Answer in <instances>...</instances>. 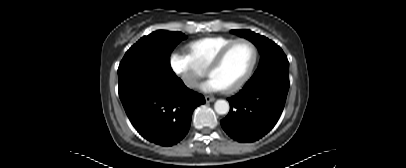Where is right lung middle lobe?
I'll return each instance as SVG.
<instances>
[{"label":"right lung middle lobe","instance_id":"1","mask_svg":"<svg viewBox=\"0 0 406 168\" xmlns=\"http://www.w3.org/2000/svg\"><path fill=\"white\" fill-rule=\"evenodd\" d=\"M186 37L181 32L158 30L136 42L126 52L118 68L119 96L134 88L176 77L169 56Z\"/></svg>","mask_w":406,"mask_h":168}]
</instances>
